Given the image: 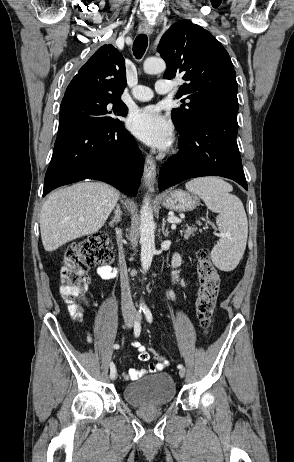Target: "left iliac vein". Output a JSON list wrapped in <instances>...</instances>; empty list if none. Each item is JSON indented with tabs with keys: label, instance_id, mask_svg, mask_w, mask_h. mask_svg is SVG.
<instances>
[{
	"label": "left iliac vein",
	"instance_id": "1",
	"mask_svg": "<svg viewBox=\"0 0 294 462\" xmlns=\"http://www.w3.org/2000/svg\"><path fill=\"white\" fill-rule=\"evenodd\" d=\"M179 375L182 378L185 376V368H182V369L179 370Z\"/></svg>",
	"mask_w": 294,
	"mask_h": 462
}]
</instances>
